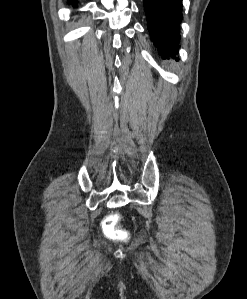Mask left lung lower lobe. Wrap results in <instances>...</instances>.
I'll return each instance as SVG.
<instances>
[{
  "label": "left lung lower lobe",
  "instance_id": "0a47b994",
  "mask_svg": "<svg viewBox=\"0 0 247 299\" xmlns=\"http://www.w3.org/2000/svg\"><path fill=\"white\" fill-rule=\"evenodd\" d=\"M143 1L153 43L162 58L174 57L178 53L182 0Z\"/></svg>",
  "mask_w": 247,
  "mask_h": 299
}]
</instances>
